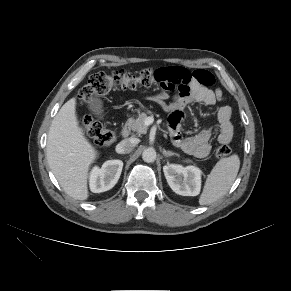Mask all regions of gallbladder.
Here are the masks:
<instances>
[{"label":"gallbladder","instance_id":"gallbladder-1","mask_svg":"<svg viewBox=\"0 0 291 291\" xmlns=\"http://www.w3.org/2000/svg\"><path fill=\"white\" fill-rule=\"evenodd\" d=\"M88 109L98 118H103V102L97 96H92L88 100Z\"/></svg>","mask_w":291,"mask_h":291}]
</instances>
